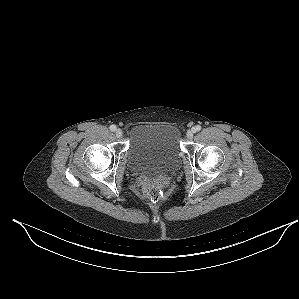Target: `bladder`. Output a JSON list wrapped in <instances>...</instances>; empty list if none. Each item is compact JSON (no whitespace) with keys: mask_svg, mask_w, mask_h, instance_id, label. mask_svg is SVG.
I'll return each mask as SVG.
<instances>
[{"mask_svg":"<svg viewBox=\"0 0 299 299\" xmlns=\"http://www.w3.org/2000/svg\"><path fill=\"white\" fill-rule=\"evenodd\" d=\"M179 131L171 124H141L131 131L127 151L129 168L137 174L174 172L181 160Z\"/></svg>","mask_w":299,"mask_h":299,"instance_id":"1","label":"bladder"}]
</instances>
